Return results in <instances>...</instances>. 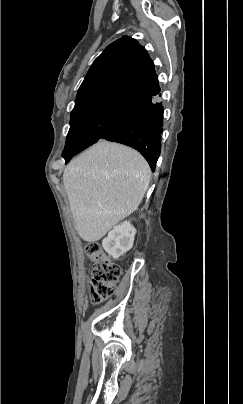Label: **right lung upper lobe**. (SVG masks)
Returning <instances> with one entry per match:
<instances>
[{"label":"right lung upper lobe","instance_id":"1","mask_svg":"<svg viewBox=\"0 0 243 404\" xmlns=\"http://www.w3.org/2000/svg\"><path fill=\"white\" fill-rule=\"evenodd\" d=\"M159 91L147 51L124 36L96 58L78 90L74 109L106 100L129 102Z\"/></svg>","mask_w":243,"mask_h":404}]
</instances>
